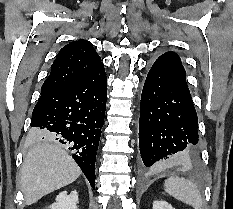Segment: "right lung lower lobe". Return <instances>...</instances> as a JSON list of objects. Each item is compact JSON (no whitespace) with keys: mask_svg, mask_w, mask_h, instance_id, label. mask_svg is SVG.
Wrapping results in <instances>:
<instances>
[{"mask_svg":"<svg viewBox=\"0 0 233 209\" xmlns=\"http://www.w3.org/2000/svg\"><path fill=\"white\" fill-rule=\"evenodd\" d=\"M107 80L104 66L66 86L41 94L31 126L51 133L74 153L73 159L95 189V158L104 123ZM44 138V137H43Z\"/></svg>","mask_w":233,"mask_h":209,"instance_id":"right-lung-lower-lobe-1","label":"right lung lower lobe"}]
</instances>
